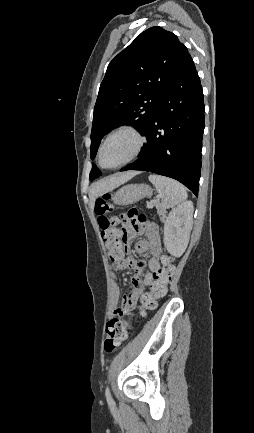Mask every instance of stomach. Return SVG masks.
<instances>
[{
	"mask_svg": "<svg viewBox=\"0 0 254 433\" xmlns=\"http://www.w3.org/2000/svg\"><path fill=\"white\" fill-rule=\"evenodd\" d=\"M152 192V188L146 184H128L121 187L112 196V200L118 205H129L136 203L144 197H150Z\"/></svg>",
	"mask_w": 254,
	"mask_h": 433,
	"instance_id": "1",
	"label": "stomach"
}]
</instances>
